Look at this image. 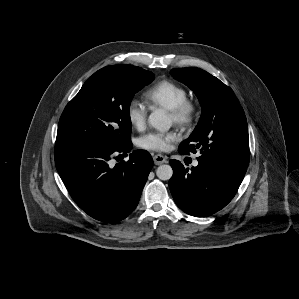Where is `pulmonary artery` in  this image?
Returning <instances> with one entry per match:
<instances>
[{
    "label": "pulmonary artery",
    "instance_id": "obj_1",
    "mask_svg": "<svg viewBox=\"0 0 299 299\" xmlns=\"http://www.w3.org/2000/svg\"><path fill=\"white\" fill-rule=\"evenodd\" d=\"M193 165H194V166H197V165H198V161L195 160V161L193 162Z\"/></svg>",
    "mask_w": 299,
    "mask_h": 299
}]
</instances>
